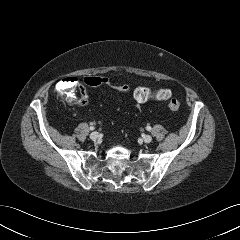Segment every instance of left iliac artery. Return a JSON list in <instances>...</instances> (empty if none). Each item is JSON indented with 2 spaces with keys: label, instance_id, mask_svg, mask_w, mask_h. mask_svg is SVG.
<instances>
[{
  "label": "left iliac artery",
  "instance_id": "obj_1",
  "mask_svg": "<svg viewBox=\"0 0 240 240\" xmlns=\"http://www.w3.org/2000/svg\"><path fill=\"white\" fill-rule=\"evenodd\" d=\"M146 129H147L148 131H151L152 128H151L150 126H147Z\"/></svg>",
  "mask_w": 240,
  "mask_h": 240
}]
</instances>
